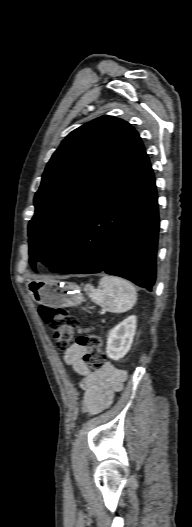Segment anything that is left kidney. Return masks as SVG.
I'll return each mask as SVG.
<instances>
[{"label": "left kidney", "mask_w": 192, "mask_h": 527, "mask_svg": "<svg viewBox=\"0 0 192 527\" xmlns=\"http://www.w3.org/2000/svg\"><path fill=\"white\" fill-rule=\"evenodd\" d=\"M136 331V316L132 315L110 330L106 353L109 358L119 360L130 350Z\"/></svg>", "instance_id": "5707ae66"}]
</instances>
